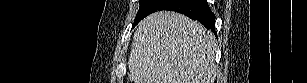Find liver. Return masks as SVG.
Here are the masks:
<instances>
[{"label":"liver","instance_id":"6515ba94","mask_svg":"<svg viewBox=\"0 0 307 83\" xmlns=\"http://www.w3.org/2000/svg\"><path fill=\"white\" fill-rule=\"evenodd\" d=\"M216 39L202 24L172 11L140 21L129 56L133 83H214Z\"/></svg>","mask_w":307,"mask_h":83}]
</instances>
